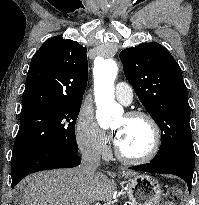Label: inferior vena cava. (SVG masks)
I'll list each match as a JSON object with an SVG mask.
<instances>
[{"instance_id": "inferior-vena-cava-1", "label": "inferior vena cava", "mask_w": 199, "mask_h": 205, "mask_svg": "<svg viewBox=\"0 0 199 205\" xmlns=\"http://www.w3.org/2000/svg\"><path fill=\"white\" fill-rule=\"evenodd\" d=\"M81 155L80 175L87 180H92L98 174L96 169L100 166V151L96 148H85L81 151Z\"/></svg>"}]
</instances>
